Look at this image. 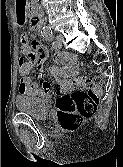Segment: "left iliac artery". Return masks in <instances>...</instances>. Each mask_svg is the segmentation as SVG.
Wrapping results in <instances>:
<instances>
[{
    "label": "left iliac artery",
    "mask_w": 123,
    "mask_h": 167,
    "mask_svg": "<svg viewBox=\"0 0 123 167\" xmlns=\"http://www.w3.org/2000/svg\"><path fill=\"white\" fill-rule=\"evenodd\" d=\"M42 36H43L46 40H48V41H50V42H52V41H53V38H54L53 32H52L51 29H49L47 33L42 34ZM52 45H53L54 48L56 47V43H55V42H53Z\"/></svg>",
    "instance_id": "obj_1"
}]
</instances>
